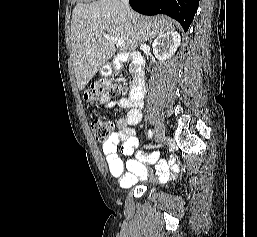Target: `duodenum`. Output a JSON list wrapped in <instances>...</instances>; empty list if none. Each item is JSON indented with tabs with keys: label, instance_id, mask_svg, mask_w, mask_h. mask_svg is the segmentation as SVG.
<instances>
[{
	"label": "duodenum",
	"instance_id": "1",
	"mask_svg": "<svg viewBox=\"0 0 257 237\" xmlns=\"http://www.w3.org/2000/svg\"><path fill=\"white\" fill-rule=\"evenodd\" d=\"M126 61H130L135 67L129 96L134 101H140L145 95V60L141 54L124 52L116 61V68L121 67Z\"/></svg>",
	"mask_w": 257,
	"mask_h": 237
}]
</instances>
